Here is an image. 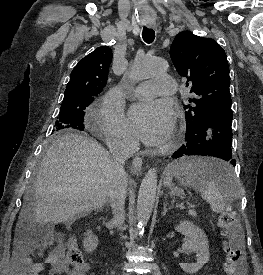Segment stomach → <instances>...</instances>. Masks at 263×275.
<instances>
[{"mask_svg": "<svg viewBox=\"0 0 263 275\" xmlns=\"http://www.w3.org/2000/svg\"><path fill=\"white\" fill-rule=\"evenodd\" d=\"M165 184L170 188L172 195L182 196L184 194V191L182 188L175 186L172 183V172L171 171L166 176Z\"/></svg>", "mask_w": 263, "mask_h": 275, "instance_id": "1", "label": "stomach"}]
</instances>
